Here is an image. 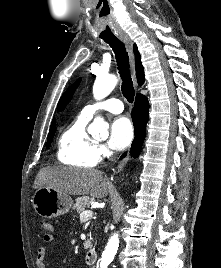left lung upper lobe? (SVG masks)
Segmentation results:
<instances>
[{
	"mask_svg": "<svg viewBox=\"0 0 221 268\" xmlns=\"http://www.w3.org/2000/svg\"><path fill=\"white\" fill-rule=\"evenodd\" d=\"M80 82V79H78L73 85H71L68 90L62 95L60 101H59V109H63L65 107V104L68 103V101L71 99L72 93L76 89V86Z\"/></svg>",
	"mask_w": 221,
	"mask_h": 268,
	"instance_id": "5c2ea615",
	"label": "left lung upper lobe"
}]
</instances>
